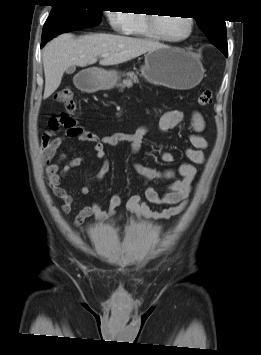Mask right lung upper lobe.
I'll return each instance as SVG.
<instances>
[{"label": "right lung upper lobe", "mask_w": 261, "mask_h": 355, "mask_svg": "<svg viewBox=\"0 0 261 355\" xmlns=\"http://www.w3.org/2000/svg\"><path fill=\"white\" fill-rule=\"evenodd\" d=\"M53 3H57V2H62V1H65V0H52Z\"/></svg>", "instance_id": "cb5924a9"}]
</instances>
